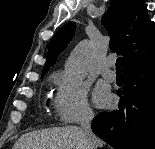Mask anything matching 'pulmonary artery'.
<instances>
[{"label":"pulmonary artery","instance_id":"obj_1","mask_svg":"<svg viewBox=\"0 0 155 149\" xmlns=\"http://www.w3.org/2000/svg\"><path fill=\"white\" fill-rule=\"evenodd\" d=\"M114 63H115L114 58L108 57L105 61L104 67L101 70L103 77L109 81H114L116 79V73L112 69Z\"/></svg>","mask_w":155,"mask_h":149}]
</instances>
